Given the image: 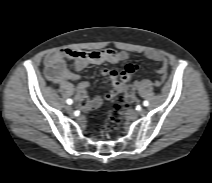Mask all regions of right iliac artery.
Wrapping results in <instances>:
<instances>
[{
	"mask_svg": "<svg viewBox=\"0 0 212 183\" xmlns=\"http://www.w3.org/2000/svg\"><path fill=\"white\" fill-rule=\"evenodd\" d=\"M67 104L71 105L73 103L72 99H67Z\"/></svg>",
	"mask_w": 212,
	"mask_h": 183,
	"instance_id": "82829eb1",
	"label": "right iliac artery"
}]
</instances>
